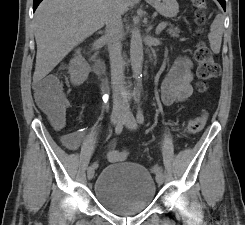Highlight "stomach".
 Wrapping results in <instances>:
<instances>
[{
    "instance_id": "0dacf381",
    "label": "stomach",
    "mask_w": 245,
    "mask_h": 225,
    "mask_svg": "<svg viewBox=\"0 0 245 225\" xmlns=\"http://www.w3.org/2000/svg\"><path fill=\"white\" fill-rule=\"evenodd\" d=\"M146 2L166 18L175 17L179 11L176 0H146Z\"/></svg>"
}]
</instances>
